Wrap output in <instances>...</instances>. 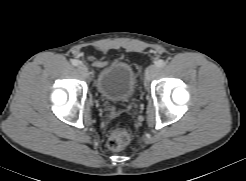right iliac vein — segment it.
I'll return each mask as SVG.
<instances>
[{
  "instance_id": "63e3f726",
  "label": "right iliac vein",
  "mask_w": 246,
  "mask_h": 181,
  "mask_svg": "<svg viewBox=\"0 0 246 181\" xmlns=\"http://www.w3.org/2000/svg\"><path fill=\"white\" fill-rule=\"evenodd\" d=\"M78 70H79V72L81 73V74H83V75H88V68H87V66L86 65H84V64H79L78 65Z\"/></svg>"
}]
</instances>
